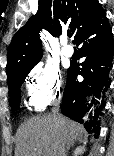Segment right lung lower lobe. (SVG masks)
Here are the masks:
<instances>
[{"label": "right lung lower lobe", "instance_id": "98d812e1", "mask_svg": "<svg viewBox=\"0 0 114 156\" xmlns=\"http://www.w3.org/2000/svg\"><path fill=\"white\" fill-rule=\"evenodd\" d=\"M74 43L81 46V63L71 64L63 95L61 111L65 116L84 124L87 131L97 137L100 133L99 115L105 107V92L110 86L109 71L114 55L111 27L103 8L75 37ZM83 81L77 80V75Z\"/></svg>", "mask_w": 114, "mask_h": 156}]
</instances>
